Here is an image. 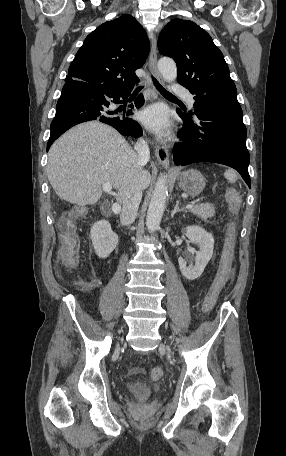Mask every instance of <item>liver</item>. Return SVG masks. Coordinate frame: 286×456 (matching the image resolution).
Returning <instances> with one entry per match:
<instances>
[{
	"label": "liver",
	"mask_w": 286,
	"mask_h": 456,
	"mask_svg": "<svg viewBox=\"0 0 286 456\" xmlns=\"http://www.w3.org/2000/svg\"><path fill=\"white\" fill-rule=\"evenodd\" d=\"M47 176L61 199L80 206L95 204L104 183L118 190L119 203L136 180L142 189L150 183L148 170L139 165L138 154L128 142L97 121L73 127L51 146Z\"/></svg>",
	"instance_id": "liver-1"
}]
</instances>
